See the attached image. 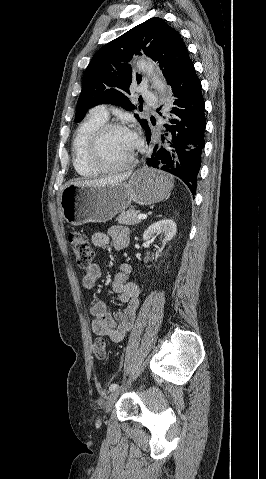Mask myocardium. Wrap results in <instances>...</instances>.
<instances>
[{"instance_id":"1","label":"myocardium","mask_w":266,"mask_h":479,"mask_svg":"<svg viewBox=\"0 0 266 479\" xmlns=\"http://www.w3.org/2000/svg\"><path fill=\"white\" fill-rule=\"evenodd\" d=\"M113 130H125L130 132V130L126 126L120 123H104L103 125H101L99 128H97L94 131V133L91 135L90 140L88 142L87 151H86L87 160L89 164L100 173H113V172H118L121 170L128 169L133 164L137 149L139 148V145H140L139 140L136 138L133 150L125 162L115 166H110L105 164L100 159L99 147L103 137L108 132Z\"/></svg>"}]
</instances>
